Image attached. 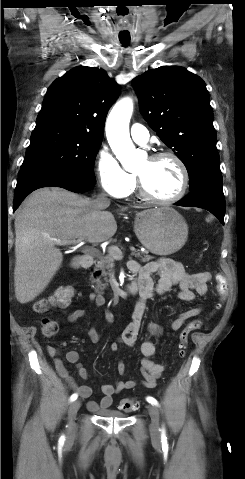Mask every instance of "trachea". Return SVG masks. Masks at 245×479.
Instances as JSON below:
<instances>
[{"label":"trachea","instance_id":"1","mask_svg":"<svg viewBox=\"0 0 245 479\" xmlns=\"http://www.w3.org/2000/svg\"><path fill=\"white\" fill-rule=\"evenodd\" d=\"M121 43L124 45V46H127L129 44V41H121Z\"/></svg>","mask_w":245,"mask_h":479}]
</instances>
